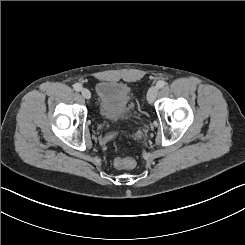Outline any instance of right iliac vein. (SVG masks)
I'll return each mask as SVG.
<instances>
[{
  "label": "right iliac vein",
  "mask_w": 245,
  "mask_h": 245,
  "mask_svg": "<svg viewBox=\"0 0 245 245\" xmlns=\"http://www.w3.org/2000/svg\"><path fill=\"white\" fill-rule=\"evenodd\" d=\"M81 94L84 98L90 99L91 98V93L88 89L84 88L81 90Z\"/></svg>",
  "instance_id": "right-iliac-vein-1"
}]
</instances>
